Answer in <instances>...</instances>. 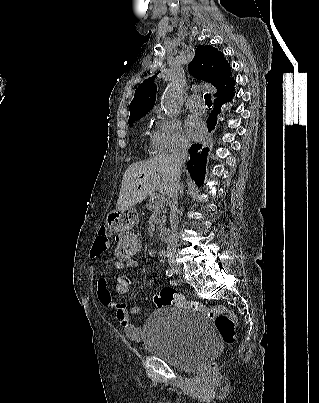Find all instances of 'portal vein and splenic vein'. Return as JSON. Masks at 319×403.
I'll return each mask as SVG.
<instances>
[{
    "label": "portal vein and splenic vein",
    "instance_id": "18ae733b",
    "mask_svg": "<svg viewBox=\"0 0 319 403\" xmlns=\"http://www.w3.org/2000/svg\"><path fill=\"white\" fill-rule=\"evenodd\" d=\"M161 197L163 198V193H162ZM163 201H164V200H161V199H160V202H163Z\"/></svg>",
    "mask_w": 319,
    "mask_h": 403
}]
</instances>
